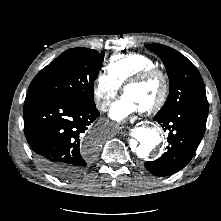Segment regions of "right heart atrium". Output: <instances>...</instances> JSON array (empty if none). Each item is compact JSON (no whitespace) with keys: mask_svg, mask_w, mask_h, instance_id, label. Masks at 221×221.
Listing matches in <instances>:
<instances>
[{"mask_svg":"<svg viewBox=\"0 0 221 221\" xmlns=\"http://www.w3.org/2000/svg\"><path fill=\"white\" fill-rule=\"evenodd\" d=\"M120 89L121 86L108 74V72H99L93 87L95 103L98 109L106 111Z\"/></svg>","mask_w":221,"mask_h":221,"instance_id":"right-heart-atrium-1","label":"right heart atrium"}]
</instances>
